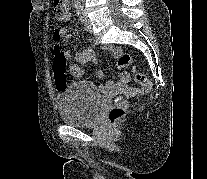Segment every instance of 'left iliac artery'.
Wrapping results in <instances>:
<instances>
[{
  "instance_id": "1",
  "label": "left iliac artery",
  "mask_w": 207,
  "mask_h": 179,
  "mask_svg": "<svg viewBox=\"0 0 207 179\" xmlns=\"http://www.w3.org/2000/svg\"><path fill=\"white\" fill-rule=\"evenodd\" d=\"M76 10H77V14H78L80 20L83 23H86V20H85V12H84L83 6L82 5H77L76 6Z\"/></svg>"
}]
</instances>
